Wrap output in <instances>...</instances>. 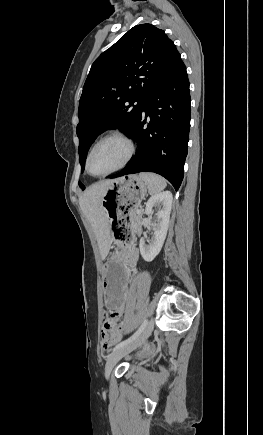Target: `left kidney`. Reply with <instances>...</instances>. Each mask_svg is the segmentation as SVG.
Segmentation results:
<instances>
[{"instance_id":"left-kidney-1","label":"left kidney","mask_w":263,"mask_h":435,"mask_svg":"<svg viewBox=\"0 0 263 435\" xmlns=\"http://www.w3.org/2000/svg\"><path fill=\"white\" fill-rule=\"evenodd\" d=\"M172 200V193L164 191L151 196L146 203L145 214L147 216L151 217L154 214V208L156 209V225L153 236L151 239L143 237L139 243L140 253L147 262L154 260L164 244L169 225Z\"/></svg>"}]
</instances>
